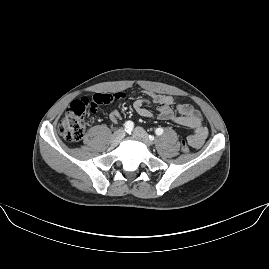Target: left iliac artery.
Returning a JSON list of instances; mask_svg holds the SVG:
<instances>
[{"label": "left iliac artery", "instance_id": "1", "mask_svg": "<svg viewBox=\"0 0 269 269\" xmlns=\"http://www.w3.org/2000/svg\"><path fill=\"white\" fill-rule=\"evenodd\" d=\"M155 133L157 135H162L163 134V129L160 127V128H157ZM150 140H154V138H151V136H149Z\"/></svg>", "mask_w": 269, "mask_h": 269}]
</instances>
